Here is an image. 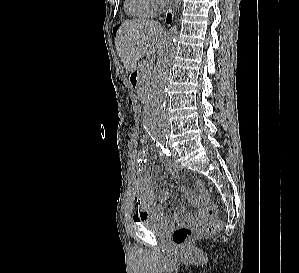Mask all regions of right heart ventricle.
I'll return each instance as SVG.
<instances>
[{"instance_id":"obj_1","label":"right heart ventricle","mask_w":299,"mask_h":273,"mask_svg":"<svg viewBox=\"0 0 299 273\" xmlns=\"http://www.w3.org/2000/svg\"><path fill=\"white\" fill-rule=\"evenodd\" d=\"M125 9L129 15L138 18L150 17L153 14L143 0H125Z\"/></svg>"}]
</instances>
